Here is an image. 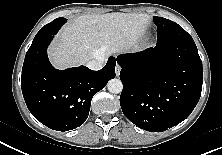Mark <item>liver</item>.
<instances>
[{
    "label": "liver",
    "instance_id": "6515ba94",
    "mask_svg": "<svg viewBox=\"0 0 222 155\" xmlns=\"http://www.w3.org/2000/svg\"><path fill=\"white\" fill-rule=\"evenodd\" d=\"M150 16L143 13L83 15L65 25L49 49L57 69L85 64L135 46Z\"/></svg>",
    "mask_w": 222,
    "mask_h": 155
}]
</instances>
